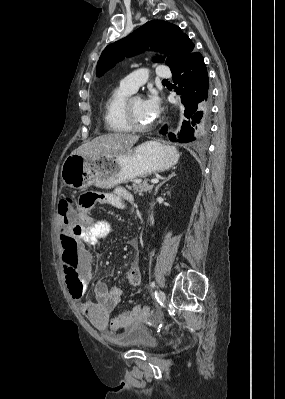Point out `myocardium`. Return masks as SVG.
Masks as SVG:
<instances>
[{"mask_svg": "<svg viewBox=\"0 0 285 399\" xmlns=\"http://www.w3.org/2000/svg\"><path fill=\"white\" fill-rule=\"evenodd\" d=\"M131 101H132V99L126 101L125 107H124L125 119H126V122L129 126V128L132 131H137V132H142V131H146V130L150 129L153 125L152 123H149L147 125H140L135 121L134 115H133V112L131 109Z\"/></svg>", "mask_w": 285, "mask_h": 399, "instance_id": "myocardium-1", "label": "myocardium"}]
</instances>
